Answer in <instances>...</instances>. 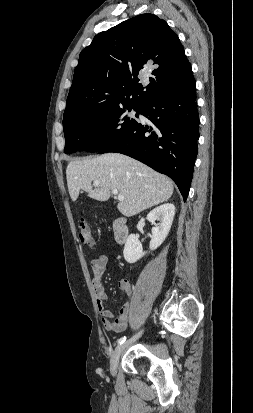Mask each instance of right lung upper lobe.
Segmentation results:
<instances>
[{"mask_svg":"<svg viewBox=\"0 0 253 413\" xmlns=\"http://www.w3.org/2000/svg\"><path fill=\"white\" fill-rule=\"evenodd\" d=\"M191 74L184 48L166 21L138 15L99 33L82 50L63 124L99 111L139 107L181 86Z\"/></svg>","mask_w":253,"mask_h":413,"instance_id":"1","label":"right lung upper lobe"}]
</instances>
